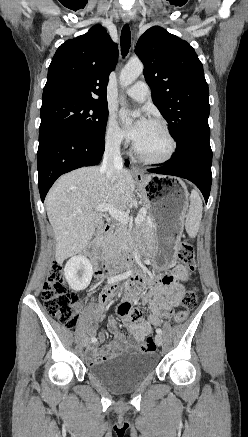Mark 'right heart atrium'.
<instances>
[{
  "mask_svg": "<svg viewBox=\"0 0 248 437\" xmlns=\"http://www.w3.org/2000/svg\"><path fill=\"white\" fill-rule=\"evenodd\" d=\"M105 143L112 149H119L124 145L123 135L113 115L107 119L104 133Z\"/></svg>",
  "mask_w": 248,
  "mask_h": 437,
  "instance_id": "right-heart-atrium-1",
  "label": "right heart atrium"
}]
</instances>
